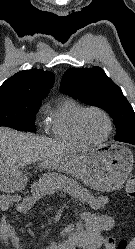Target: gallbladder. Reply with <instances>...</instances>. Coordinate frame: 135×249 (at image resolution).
I'll return each instance as SVG.
<instances>
[{"instance_id":"bac80fb5","label":"gallbladder","mask_w":135,"mask_h":249,"mask_svg":"<svg viewBox=\"0 0 135 249\" xmlns=\"http://www.w3.org/2000/svg\"><path fill=\"white\" fill-rule=\"evenodd\" d=\"M1 183H2V184H3V183L6 184V182H5L3 179L0 178V184H1ZM9 186H10V185H9Z\"/></svg>"}]
</instances>
